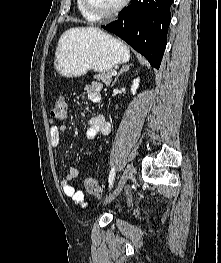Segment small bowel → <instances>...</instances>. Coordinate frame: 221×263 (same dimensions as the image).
Wrapping results in <instances>:
<instances>
[{
	"label": "small bowel",
	"mask_w": 221,
	"mask_h": 263,
	"mask_svg": "<svg viewBox=\"0 0 221 263\" xmlns=\"http://www.w3.org/2000/svg\"><path fill=\"white\" fill-rule=\"evenodd\" d=\"M89 100L92 103L101 101L102 84L99 82H91L84 87ZM66 124L52 126L51 128V143L53 146H58L61 142V136L68 132ZM110 132V124L102 115H96L89 119V127L86 131V136L89 140H95L97 136H105ZM79 170L75 167L69 169L65 176L60 179V185L64 194L69 197L72 202L79 206L86 204L83 191L77 189L71 181L78 178Z\"/></svg>",
	"instance_id": "1"
}]
</instances>
